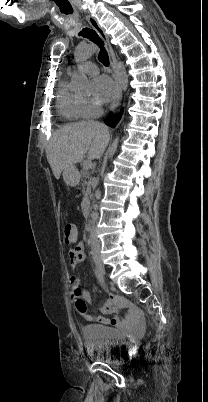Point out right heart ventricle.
<instances>
[{"label":"right heart ventricle","instance_id":"right-heart-ventricle-1","mask_svg":"<svg viewBox=\"0 0 208 402\" xmlns=\"http://www.w3.org/2000/svg\"><path fill=\"white\" fill-rule=\"evenodd\" d=\"M80 99V94L69 89L67 80L60 82L57 93V109L69 125H81L84 123L85 119L82 115Z\"/></svg>","mask_w":208,"mask_h":402}]
</instances>
